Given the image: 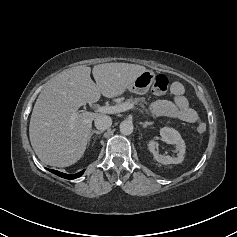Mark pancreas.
<instances>
[{"label": "pancreas", "instance_id": "1", "mask_svg": "<svg viewBox=\"0 0 237 237\" xmlns=\"http://www.w3.org/2000/svg\"><path fill=\"white\" fill-rule=\"evenodd\" d=\"M125 103H132L134 104H140L141 107H144V104H146L147 102L145 101V98H139V97H135V98H129L125 101ZM146 112L148 113V111L146 110Z\"/></svg>", "mask_w": 237, "mask_h": 237}]
</instances>
